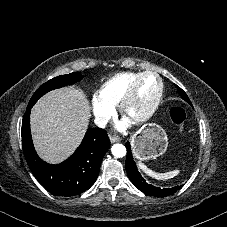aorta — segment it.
<instances>
[{"instance_id":"obj_1","label":"aorta","mask_w":227,"mask_h":227,"mask_svg":"<svg viewBox=\"0 0 227 227\" xmlns=\"http://www.w3.org/2000/svg\"><path fill=\"white\" fill-rule=\"evenodd\" d=\"M111 152L115 157L122 158L126 155V147L123 144H114Z\"/></svg>"}]
</instances>
